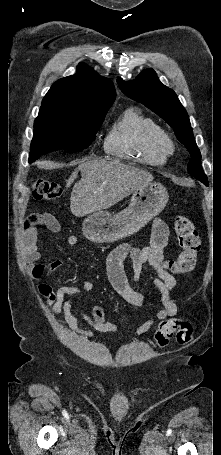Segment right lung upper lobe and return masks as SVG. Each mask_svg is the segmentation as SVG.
Masks as SVG:
<instances>
[{"mask_svg":"<svg viewBox=\"0 0 221 455\" xmlns=\"http://www.w3.org/2000/svg\"><path fill=\"white\" fill-rule=\"evenodd\" d=\"M116 97L110 79L99 76L91 67L80 63L77 73L56 81L45 95L41 112L84 117L109 110Z\"/></svg>","mask_w":221,"mask_h":455,"instance_id":"cb5924a9","label":"right lung upper lobe"}]
</instances>
